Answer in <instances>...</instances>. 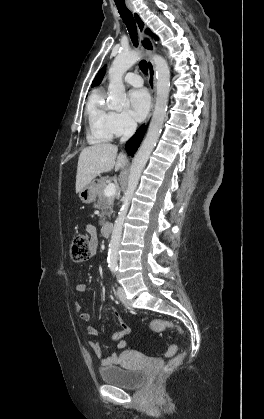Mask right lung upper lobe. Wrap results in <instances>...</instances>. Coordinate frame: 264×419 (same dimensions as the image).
Wrapping results in <instances>:
<instances>
[{
    "instance_id": "right-lung-upper-lobe-1",
    "label": "right lung upper lobe",
    "mask_w": 264,
    "mask_h": 419,
    "mask_svg": "<svg viewBox=\"0 0 264 419\" xmlns=\"http://www.w3.org/2000/svg\"><path fill=\"white\" fill-rule=\"evenodd\" d=\"M105 70H106V66H104L99 72H98V74L96 75V77H95V79H94V81H93V83H92V86H96V85H98L101 81H102V78L104 77V74H105Z\"/></svg>"
}]
</instances>
